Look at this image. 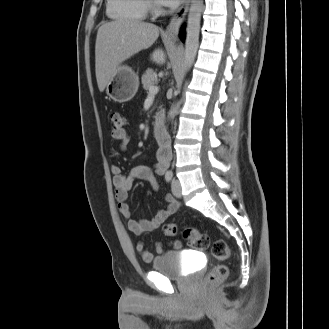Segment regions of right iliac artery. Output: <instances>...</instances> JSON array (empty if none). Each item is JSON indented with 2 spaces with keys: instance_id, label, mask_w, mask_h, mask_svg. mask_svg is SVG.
<instances>
[{
  "instance_id": "obj_1",
  "label": "right iliac artery",
  "mask_w": 329,
  "mask_h": 329,
  "mask_svg": "<svg viewBox=\"0 0 329 329\" xmlns=\"http://www.w3.org/2000/svg\"><path fill=\"white\" fill-rule=\"evenodd\" d=\"M172 178H173V173L172 172L169 171L165 174L166 182H170L172 180Z\"/></svg>"
}]
</instances>
